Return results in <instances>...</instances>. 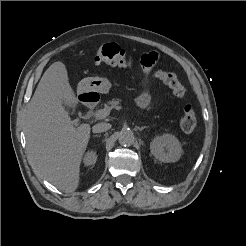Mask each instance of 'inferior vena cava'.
<instances>
[{
  "label": "inferior vena cava",
  "instance_id": "obj_1",
  "mask_svg": "<svg viewBox=\"0 0 246 246\" xmlns=\"http://www.w3.org/2000/svg\"><path fill=\"white\" fill-rule=\"evenodd\" d=\"M111 128V125L109 123H97L92 127L93 133H102Z\"/></svg>",
  "mask_w": 246,
  "mask_h": 246
}]
</instances>
